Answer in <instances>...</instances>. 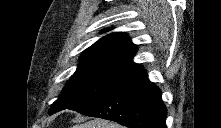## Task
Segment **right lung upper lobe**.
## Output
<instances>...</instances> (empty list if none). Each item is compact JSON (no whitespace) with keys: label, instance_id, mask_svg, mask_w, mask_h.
<instances>
[{"label":"right lung upper lobe","instance_id":"cb5924a9","mask_svg":"<svg viewBox=\"0 0 221 128\" xmlns=\"http://www.w3.org/2000/svg\"><path fill=\"white\" fill-rule=\"evenodd\" d=\"M136 51V45L127 34L111 33L83 52L77 70H97L129 77L143 69V66L133 62Z\"/></svg>","mask_w":221,"mask_h":128}]
</instances>
